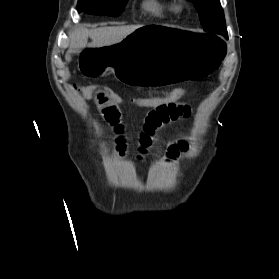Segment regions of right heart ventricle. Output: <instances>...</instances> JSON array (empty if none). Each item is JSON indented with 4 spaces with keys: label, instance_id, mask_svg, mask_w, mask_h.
Here are the masks:
<instances>
[{
    "label": "right heart ventricle",
    "instance_id": "right-heart-ventricle-1",
    "mask_svg": "<svg viewBox=\"0 0 279 279\" xmlns=\"http://www.w3.org/2000/svg\"><path fill=\"white\" fill-rule=\"evenodd\" d=\"M143 6L147 11L157 16H161L166 11L174 9L172 5L162 2L161 0H145Z\"/></svg>",
    "mask_w": 279,
    "mask_h": 279
}]
</instances>
